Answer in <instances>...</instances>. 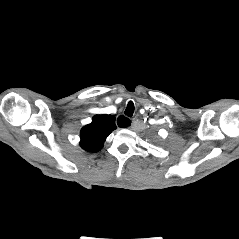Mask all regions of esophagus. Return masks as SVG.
<instances>
[{
    "mask_svg": "<svg viewBox=\"0 0 239 239\" xmlns=\"http://www.w3.org/2000/svg\"><path fill=\"white\" fill-rule=\"evenodd\" d=\"M117 124L120 128L130 127L133 124V121L121 115L117 118ZM134 124L132 125L133 128Z\"/></svg>",
    "mask_w": 239,
    "mask_h": 239,
    "instance_id": "esophagus-1",
    "label": "esophagus"
}]
</instances>
